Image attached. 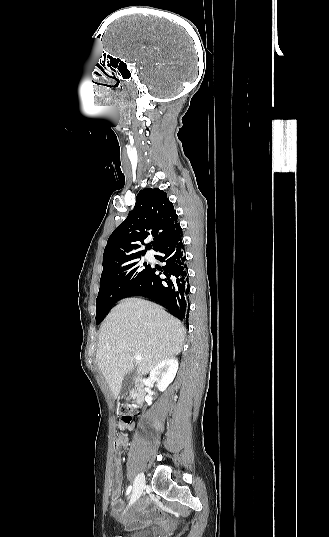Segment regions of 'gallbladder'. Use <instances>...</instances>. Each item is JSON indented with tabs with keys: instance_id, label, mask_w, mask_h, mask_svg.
Listing matches in <instances>:
<instances>
[{
	"instance_id": "bac80fb5",
	"label": "gallbladder",
	"mask_w": 329,
	"mask_h": 537,
	"mask_svg": "<svg viewBox=\"0 0 329 537\" xmlns=\"http://www.w3.org/2000/svg\"><path fill=\"white\" fill-rule=\"evenodd\" d=\"M136 373L135 370L130 371L124 376L123 382H122V393L126 394L129 392V390L134 386V379H135Z\"/></svg>"
}]
</instances>
